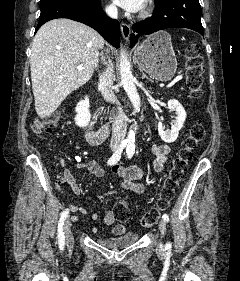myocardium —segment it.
<instances>
[{"mask_svg":"<svg viewBox=\"0 0 240 281\" xmlns=\"http://www.w3.org/2000/svg\"><path fill=\"white\" fill-rule=\"evenodd\" d=\"M149 13V7L148 5L143 9L141 16H146Z\"/></svg>","mask_w":240,"mask_h":281,"instance_id":"obj_1","label":"myocardium"}]
</instances>
